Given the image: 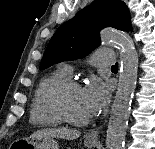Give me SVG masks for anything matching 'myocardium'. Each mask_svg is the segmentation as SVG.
<instances>
[{
  "label": "myocardium",
  "instance_id": "f54148a6",
  "mask_svg": "<svg viewBox=\"0 0 155 149\" xmlns=\"http://www.w3.org/2000/svg\"><path fill=\"white\" fill-rule=\"evenodd\" d=\"M73 88H81V86L74 80H67L60 84L54 92V107L64 122L74 126H83L90 122V117L85 119L74 118L66 106V95Z\"/></svg>",
  "mask_w": 155,
  "mask_h": 149
}]
</instances>
